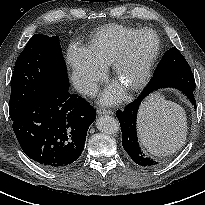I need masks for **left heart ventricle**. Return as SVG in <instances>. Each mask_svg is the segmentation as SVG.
I'll return each mask as SVG.
<instances>
[{"instance_id": "b2bd125f", "label": "left heart ventricle", "mask_w": 205, "mask_h": 205, "mask_svg": "<svg viewBox=\"0 0 205 205\" xmlns=\"http://www.w3.org/2000/svg\"><path fill=\"white\" fill-rule=\"evenodd\" d=\"M156 40L152 34H145L135 44V57L130 60L118 82L125 86L137 79L140 73V64L155 48Z\"/></svg>"}]
</instances>
